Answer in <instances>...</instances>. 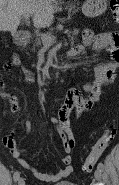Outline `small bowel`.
<instances>
[{
    "mask_svg": "<svg viewBox=\"0 0 119 185\" xmlns=\"http://www.w3.org/2000/svg\"><path fill=\"white\" fill-rule=\"evenodd\" d=\"M83 44L76 48L79 52L85 47L90 46L94 50H106L109 52L110 60L95 69L96 79L94 83L85 87L86 96L83 97L78 90L72 89L68 92L65 104L57 118H52L51 123L62 141V168L57 171H43L36 168L24 158L28 152L26 148H19L12 134L3 137V143L12 152L14 158L27 170H29L38 180L51 183L56 182L64 177L69 176L73 168L71 166L70 153L74 148L75 142L70 127L72 118L77 117L83 110L91 108L101 97L102 88L111 84L115 79V72L119 64V33L108 31L96 33L91 29H85L82 33ZM13 67H20L23 73V80L31 84L35 81L34 73L22 65L21 60L14 56L12 60L5 64L4 68L10 70ZM1 96L9 100L10 108L16 117L22 121L28 131L32 129V123L21 116L19 99L11 94L1 83Z\"/></svg>",
    "mask_w": 119,
    "mask_h": 185,
    "instance_id": "obj_1",
    "label": "small bowel"
}]
</instances>
